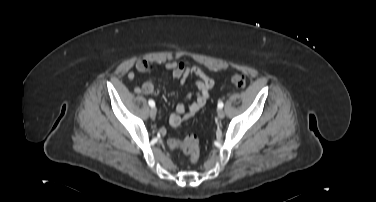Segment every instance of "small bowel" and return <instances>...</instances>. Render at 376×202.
<instances>
[{"instance_id": "obj_1", "label": "small bowel", "mask_w": 376, "mask_h": 202, "mask_svg": "<svg viewBox=\"0 0 376 202\" xmlns=\"http://www.w3.org/2000/svg\"><path fill=\"white\" fill-rule=\"evenodd\" d=\"M136 70L141 73L154 72L158 69L156 65L150 63L145 59H140L137 61ZM166 70L171 71L173 79H179L182 86L186 84L187 79L192 76L196 77V88L197 91L194 95V100L190 104H179L175 111L169 117V123L173 127L179 126L183 121L191 119L196 113L207 103L211 97V91L214 87V79L207 74L203 69L191 65L189 62H168L164 65ZM127 78L129 81L135 79V73L129 71L127 73ZM135 93H144L147 95H157L158 90L151 82L144 83L141 87H134ZM187 99H191L192 95L187 94Z\"/></svg>"}]
</instances>
